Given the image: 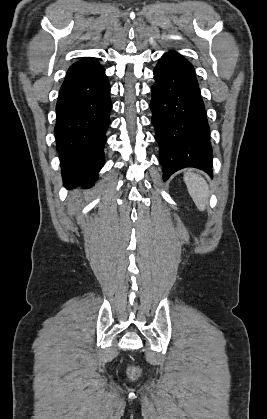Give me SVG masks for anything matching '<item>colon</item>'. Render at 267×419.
Segmentation results:
<instances>
[{"mask_svg":"<svg viewBox=\"0 0 267 419\" xmlns=\"http://www.w3.org/2000/svg\"><path fill=\"white\" fill-rule=\"evenodd\" d=\"M129 375L131 378H136L139 375V370L138 368L131 366L129 368Z\"/></svg>","mask_w":267,"mask_h":419,"instance_id":"obj_1","label":"colon"}]
</instances>
